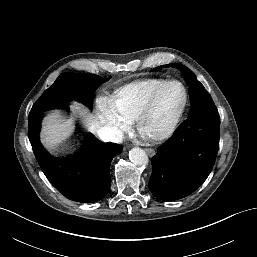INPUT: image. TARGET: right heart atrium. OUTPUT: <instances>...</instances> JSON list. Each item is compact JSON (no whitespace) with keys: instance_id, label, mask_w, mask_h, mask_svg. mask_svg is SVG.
Masks as SVG:
<instances>
[{"instance_id":"1","label":"right heart atrium","mask_w":257,"mask_h":257,"mask_svg":"<svg viewBox=\"0 0 257 257\" xmlns=\"http://www.w3.org/2000/svg\"><path fill=\"white\" fill-rule=\"evenodd\" d=\"M101 126L112 139L120 137L130 127V120L117 109L113 100L104 99L100 103Z\"/></svg>"}]
</instances>
